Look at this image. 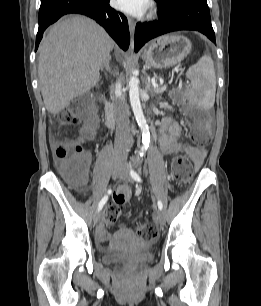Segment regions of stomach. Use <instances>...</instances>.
<instances>
[{
    "instance_id": "obj_1",
    "label": "stomach",
    "mask_w": 261,
    "mask_h": 306,
    "mask_svg": "<svg viewBox=\"0 0 261 306\" xmlns=\"http://www.w3.org/2000/svg\"><path fill=\"white\" fill-rule=\"evenodd\" d=\"M191 51V42L184 36L168 34L154 39L142 54L144 62L163 69L180 63Z\"/></svg>"
}]
</instances>
